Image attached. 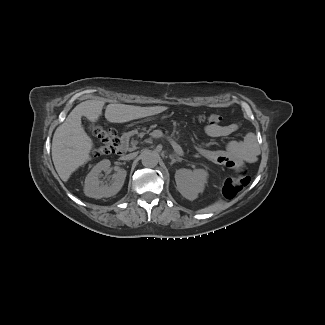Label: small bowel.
Instances as JSON below:
<instances>
[{
    "instance_id": "small-bowel-1",
    "label": "small bowel",
    "mask_w": 325,
    "mask_h": 325,
    "mask_svg": "<svg viewBox=\"0 0 325 325\" xmlns=\"http://www.w3.org/2000/svg\"><path fill=\"white\" fill-rule=\"evenodd\" d=\"M204 132L207 136L213 138H222L233 135L239 129V124L234 122L230 124H213L209 120L204 124ZM201 153L210 161L219 165H231L240 161H252L255 159V153L248 148L242 141H229L222 151L201 150Z\"/></svg>"
}]
</instances>
